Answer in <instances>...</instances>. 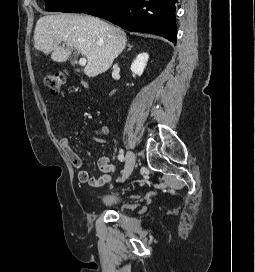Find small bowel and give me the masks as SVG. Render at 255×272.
<instances>
[{
	"instance_id": "small-bowel-1",
	"label": "small bowel",
	"mask_w": 255,
	"mask_h": 272,
	"mask_svg": "<svg viewBox=\"0 0 255 272\" xmlns=\"http://www.w3.org/2000/svg\"><path fill=\"white\" fill-rule=\"evenodd\" d=\"M74 133L84 137L85 131L82 127H79L74 131ZM60 147L70 163L79 169L78 179L81 183L88 184L92 187H100L111 181L116 167L111 163V156L109 154L103 153L97 163L99 169L103 172V175L99 178H93L89 171L85 169L83 159L72 149L69 138H62L60 140Z\"/></svg>"
}]
</instances>
